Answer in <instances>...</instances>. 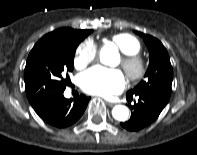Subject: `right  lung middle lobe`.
<instances>
[{
  "label": "right lung middle lobe",
  "instance_id": "1",
  "mask_svg": "<svg viewBox=\"0 0 197 155\" xmlns=\"http://www.w3.org/2000/svg\"><path fill=\"white\" fill-rule=\"evenodd\" d=\"M69 30H55L43 36L31 50L24 71L27 98L33 107L63 92L64 78L73 70L77 46L87 37Z\"/></svg>",
  "mask_w": 197,
  "mask_h": 155
}]
</instances>
